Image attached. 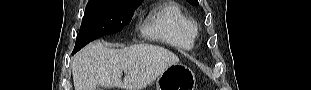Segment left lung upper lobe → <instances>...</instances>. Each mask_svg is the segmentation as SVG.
I'll return each mask as SVG.
<instances>
[{"instance_id":"5c2ea615","label":"left lung upper lobe","mask_w":311,"mask_h":90,"mask_svg":"<svg viewBox=\"0 0 311 90\" xmlns=\"http://www.w3.org/2000/svg\"><path fill=\"white\" fill-rule=\"evenodd\" d=\"M187 1L194 6L199 4L197 0H187Z\"/></svg>"}]
</instances>
